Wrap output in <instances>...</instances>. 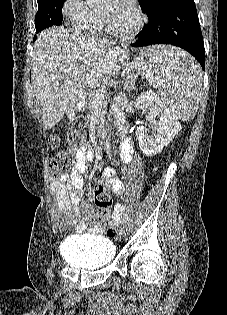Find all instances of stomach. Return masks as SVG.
Wrapping results in <instances>:
<instances>
[{
  "label": "stomach",
  "mask_w": 227,
  "mask_h": 315,
  "mask_svg": "<svg viewBox=\"0 0 227 315\" xmlns=\"http://www.w3.org/2000/svg\"><path fill=\"white\" fill-rule=\"evenodd\" d=\"M94 76H97V73H94Z\"/></svg>",
  "instance_id": "0dacf381"
}]
</instances>
